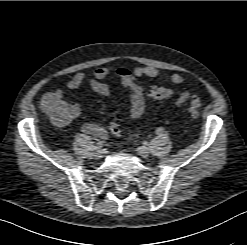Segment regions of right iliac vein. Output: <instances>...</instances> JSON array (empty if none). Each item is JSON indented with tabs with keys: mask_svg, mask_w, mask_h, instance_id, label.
I'll list each match as a JSON object with an SVG mask.
<instances>
[{
	"mask_svg": "<svg viewBox=\"0 0 247 245\" xmlns=\"http://www.w3.org/2000/svg\"><path fill=\"white\" fill-rule=\"evenodd\" d=\"M103 151L102 150H97L94 154L96 159H101L103 157Z\"/></svg>",
	"mask_w": 247,
	"mask_h": 245,
	"instance_id": "right-iliac-vein-1",
	"label": "right iliac vein"
}]
</instances>
